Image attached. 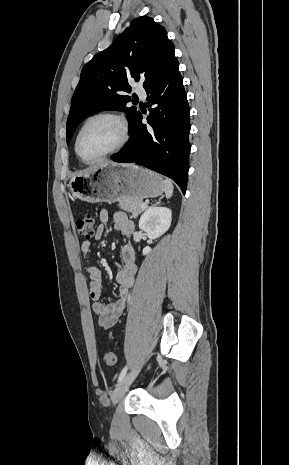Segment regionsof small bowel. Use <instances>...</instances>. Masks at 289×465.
<instances>
[{"instance_id": "small-bowel-1", "label": "small bowel", "mask_w": 289, "mask_h": 465, "mask_svg": "<svg viewBox=\"0 0 289 465\" xmlns=\"http://www.w3.org/2000/svg\"><path fill=\"white\" fill-rule=\"evenodd\" d=\"M100 224L95 232V240L103 238L106 230V224L109 221V213L103 209L99 213ZM114 229L119 231L126 237L133 233V223L128 219L124 212H115L113 214ZM91 250V242L85 240L81 244V252L84 256ZM121 263L118 266L116 281L118 283V298L109 303H103L102 299V274L101 271L92 265L86 267V273L89 277V294L94 301L92 310L97 316L98 324L104 328L109 329L113 327L118 318L124 311L130 290L134 284L136 275L135 252L130 244L122 246L120 251Z\"/></svg>"}]
</instances>
